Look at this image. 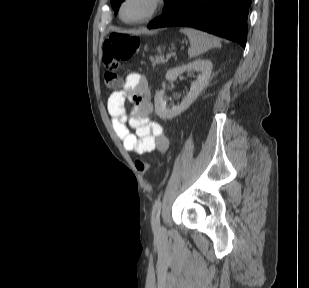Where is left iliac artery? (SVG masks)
Segmentation results:
<instances>
[{"label":"left iliac artery","instance_id":"44dca946","mask_svg":"<svg viewBox=\"0 0 309 288\" xmlns=\"http://www.w3.org/2000/svg\"><path fill=\"white\" fill-rule=\"evenodd\" d=\"M160 212H161V201L157 200L154 203L152 209V225L154 229H157L159 226Z\"/></svg>","mask_w":309,"mask_h":288}]
</instances>
